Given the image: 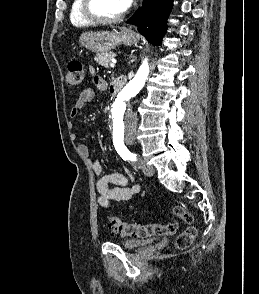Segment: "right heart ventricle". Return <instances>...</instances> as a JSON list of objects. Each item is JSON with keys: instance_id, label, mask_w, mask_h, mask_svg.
Returning <instances> with one entry per match:
<instances>
[{"instance_id": "obj_1", "label": "right heart ventricle", "mask_w": 259, "mask_h": 294, "mask_svg": "<svg viewBox=\"0 0 259 294\" xmlns=\"http://www.w3.org/2000/svg\"><path fill=\"white\" fill-rule=\"evenodd\" d=\"M81 0H73L70 9V22L74 27H87L90 23L81 13Z\"/></svg>"}]
</instances>
